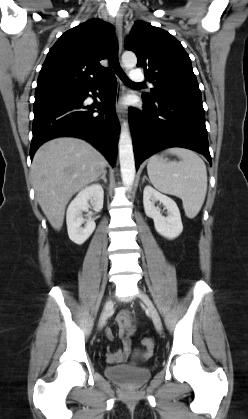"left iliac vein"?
<instances>
[{
    "mask_svg": "<svg viewBox=\"0 0 248 419\" xmlns=\"http://www.w3.org/2000/svg\"><path fill=\"white\" fill-rule=\"evenodd\" d=\"M138 297L144 302V304L146 305V308L152 318V321L155 325V328L158 332H162V322L160 319V316L157 312V309L155 308L153 302L151 301V299L144 293V292H139Z\"/></svg>",
    "mask_w": 248,
    "mask_h": 419,
    "instance_id": "4c4485c4",
    "label": "left iliac vein"
}]
</instances>
